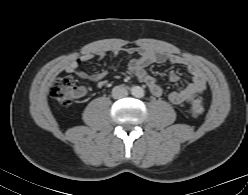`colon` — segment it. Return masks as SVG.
Wrapping results in <instances>:
<instances>
[{"mask_svg": "<svg viewBox=\"0 0 248 195\" xmlns=\"http://www.w3.org/2000/svg\"><path fill=\"white\" fill-rule=\"evenodd\" d=\"M82 93L77 80L73 76H64L53 81L50 87V95L61 106H70ZM205 106L200 96L192 98L189 104V114L199 117L204 113Z\"/></svg>", "mask_w": 248, "mask_h": 195, "instance_id": "colon-1", "label": "colon"}]
</instances>
